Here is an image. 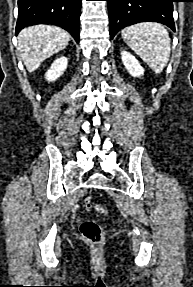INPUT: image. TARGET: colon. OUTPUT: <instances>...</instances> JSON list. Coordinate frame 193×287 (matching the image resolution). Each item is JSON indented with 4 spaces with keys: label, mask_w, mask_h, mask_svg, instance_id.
<instances>
[{
    "label": "colon",
    "mask_w": 193,
    "mask_h": 287,
    "mask_svg": "<svg viewBox=\"0 0 193 287\" xmlns=\"http://www.w3.org/2000/svg\"><path fill=\"white\" fill-rule=\"evenodd\" d=\"M84 206L86 209L95 208V210L101 214H106L107 211L104 207L96 205L94 206L91 199L86 198L84 200ZM80 231L82 237L93 245H99L103 241L104 232L103 228L96 221L88 220L81 224Z\"/></svg>",
    "instance_id": "colon-1"
}]
</instances>
